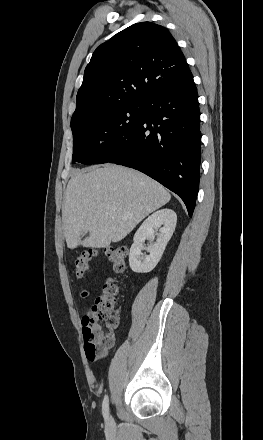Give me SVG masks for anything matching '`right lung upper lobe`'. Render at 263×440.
<instances>
[{
  "instance_id": "obj_1",
  "label": "right lung upper lobe",
  "mask_w": 263,
  "mask_h": 440,
  "mask_svg": "<svg viewBox=\"0 0 263 440\" xmlns=\"http://www.w3.org/2000/svg\"><path fill=\"white\" fill-rule=\"evenodd\" d=\"M187 72L185 57L167 29L151 22L131 25L94 51L77 94L71 128L98 111L143 102Z\"/></svg>"
}]
</instances>
